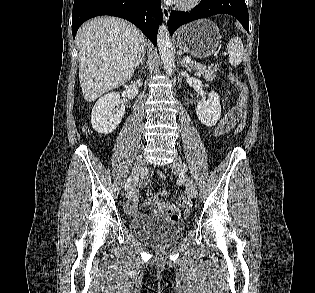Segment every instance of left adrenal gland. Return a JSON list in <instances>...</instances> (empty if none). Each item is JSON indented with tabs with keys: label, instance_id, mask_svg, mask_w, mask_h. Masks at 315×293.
<instances>
[{
	"label": "left adrenal gland",
	"instance_id": "1",
	"mask_svg": "<svg viewBox=\"0 0 315 293\" xmlns=\"http://www.w3.org/2000/svg\"><path fill=\"white\" fill-rule=\"evenodd\" d=\"M179 63L182 67H185L188 71H190L189 66L181 59L180 56H179Z\"/></svg>",
	"mask_w": 315,
	"mask_h": 293
}]
</instances>
